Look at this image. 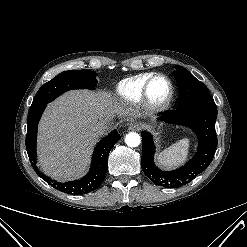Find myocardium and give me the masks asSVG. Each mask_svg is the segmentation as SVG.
<instances>
[{
  "label": "myocardium",
  "mask_w": 247,
  "mask_h": 247,
  "mask_svg": "<svg viewBox=\"0 0 247 247\" xmlns=\"http://www.w3.org/2000/svg\"><path fill=\"white\" fill-rule=\"evenodd\" d=\"M157 79H164L168 86H169V92L168 95L162 99V100H155L152 98L150 90L153 82ZM174 97V85L171 81V79L166 76L165 74H154L152 75L148 81L146 82L144 89H143V101L146 105V107L150 110L154 111H162L165 110L170 103L172 102Z\"/></svg>",
  "instance_id": "obj_1"
}]
</instances>
